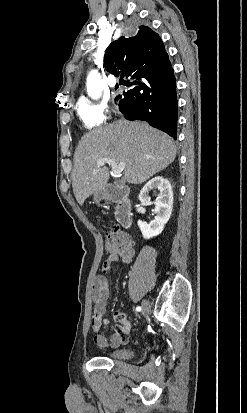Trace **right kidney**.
I'll return each instance as SVG.
<instances>
[{"mask_svg":"<svg viewBox=\"0 0 247 413\" xmlns=\"http://www.w3.org/2000/svg\"><path fill=\"white\" fill-rule=\"evenodd\" d=\"M154 188L160 190V196L154 200L155 221H151L149 225L143 223V221H138V227L144 239H151V237L160 235L172 213L173 190L168 178H163V176H154V178L148 180L139 192V200L143 204H152L148 192L154 190Z\"/></svg>","mask_w":247,"mask_h":413,"instance_id":"right-kidney-1","label":"right kidney"}]
</instances>
